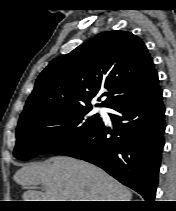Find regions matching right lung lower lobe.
Segmentation results:
<instances>
[{"mask_svg": "<svg viewBox=\"0 0 176 211\" xmlns=\"http://www.w3.org/2000/svg\"><path fill=\"white\" fill-rule=\"evenodd\" d=\"M112 109L118 112L109 114L113 130L101 122L78 143L57 153L101 167L151 202L164 146L162 90L158 84L147 94Z\"/></svg>", "mask_w": 176, "mask_h": 211, "instance_id": "obj_1", "label": "right lung lower lobe"}]
</instances>
